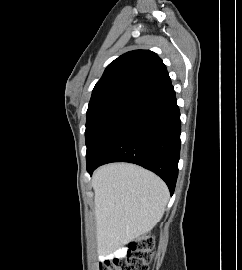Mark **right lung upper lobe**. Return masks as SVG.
Returning a JSON list of instances; mask_svg holds the SVG:
<instances>
[{"instance_id":"cb5924a9","label":"right lung upper lobe","mask_w":242,"mask_h":270,"mask_svg":"<svg viewBox=\"0 0 242 270\" xmlns=\"http://www.w3.org/2000/svg\"><path fill=\"white\" fill-rule=\"evenodd\" d=\"M170 86L166 66L156 53L130 51L107 66L93 89L88 109L113 102L137 105Z\"/></svg>"}]
</instances>
